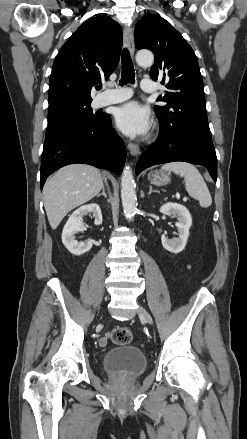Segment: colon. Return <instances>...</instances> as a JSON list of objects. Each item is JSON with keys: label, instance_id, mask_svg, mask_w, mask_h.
I'll list each match as a JSON object with an SVG mask.
<instances>
[{"label": "colon", "instance_id": "colon-1", "mask_svg": "<svg viewBox=\"0 0 247 439\" xmlns=\"http://www.w3.org/2000/svg\"><path fill=\"white\" fill-rule=\"evenodd\" d=\"M132 333L127 327H118L111 333V340L117 345H127L132 341Z\"/></svg>", "mask_w": 247, "mask_h": 439}]
</instances>
